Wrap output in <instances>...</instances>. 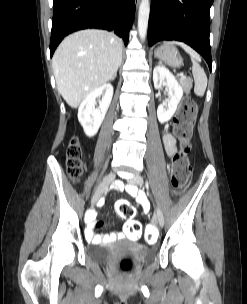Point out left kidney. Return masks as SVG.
Returning a JSON list of instances; mask_svg holds the SVG:
<instances>
[{"label": "left kidney", "instance_id": "obj_1", "mask_svg": "<svg viewBox=\"0 0 247 304\" xmlns=\"http://www.w3.org/2000/svg\"><path fill=\"white\" fill-rule=\"evenodd\" d=\"M153 82L156 89L164 86L169 90V101L167 104L159 105L157 109L158 120L160 123H164L169 121L174 115L183 96V89L173 74L164 66H156L154 68Z\"/></svg>", "mask_w": 247, "mask_h": 304}]
</instances>
